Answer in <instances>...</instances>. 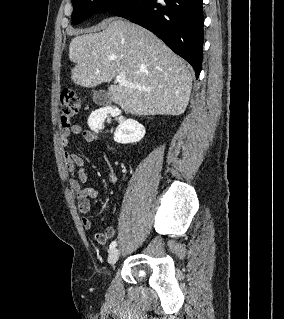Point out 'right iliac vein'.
I'll return each mask as SVG.
<instances>
[{"instance_id":"obj_1","label":"right iliac vein","mask_w":284,"mask_h":319,"mask_svg":"<svg viewBox=\"0 0 284 319\" xmlns=\"http://www.w3.org/2000/svg\"><path fill=\"white\" fill-rule=\"evenodd\" d=\"M120 252L118 249H113L110 251L108 256V263L114 265L119 259Z\"/></svg>"}]
</instances>
